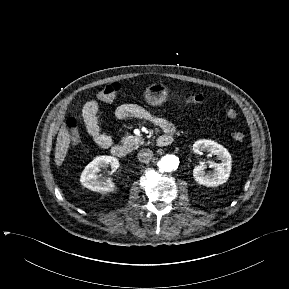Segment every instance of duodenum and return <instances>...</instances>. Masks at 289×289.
Masks as SVG:
<instances>
[{
    "label": "duodenum",
    "mask_w": 289,
    "mask_h": 289,
    "mask_svg": "<svg viewBox=\"0 0 289 289\" xmlns=\"http://www.w3.org/2000/svg\"><path fill=\"white\" fill-rule=\"evenodd\" d=\"M172 139L168 136L162 135L158 138L157 144L160 147L168 146L172 143ZM111 154L115 157L122 158L127 155L126 149L121 145H114L111 147Z\"/></svg>",
    "instance_id": "1"
}]
</instances>
